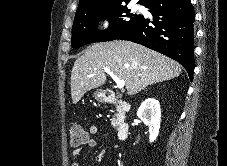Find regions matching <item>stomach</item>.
I'll return each instance as SVG.
<instances>
[{
  "mask_svg": "<svg viewBox=\"0 0 227 166\" xmlns=\"http://www.w3.org/2000/svg\"><path fill=\"white\" fill-rule=\"evenodd\" d=\"M93 97L99 102L104 101V97H105L104 91L96 90L93 94Z\"/></svg>",
  "mask_w": 227,
  "mask_h": 166,
  "instance_id": "1",
  "label": "stomach"
}]
</instances>
